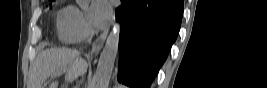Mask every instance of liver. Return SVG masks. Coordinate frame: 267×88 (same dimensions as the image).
<instances>
[{
	"instance_id": "obj_1",
	"label": "liver",
	"mask_w": 267,
	"mask_h": 88,
	"mask_svg": "<svg viewBox=\"0 0 267 88\" xmlns=\"http://www.w3.org/2000/svg\"><path fill=\"white\" fill-rule=\"evenodd\" d=\"M87 62L79 56V52L67 48H52L40 53L33 63L28 88H45L44 83L58 71L67 69V80L73 81L87 72ZM52 83L48 88H57Z\"/></svg>"
}]
</instances>
